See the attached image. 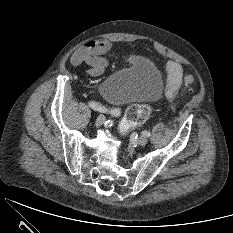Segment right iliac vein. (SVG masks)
Segmentation results:
<instances>
[{
    "instance_id": "obj_1",
    "label": "right iliac vein",
    "mask_w": 233,
    "mask_h": 233,
    "mask_svg": "<svg viewBox=\"0 0 233 233\" xmlns=\"http://www.w3.org/2000/svg\"><path fill=\"white\" fill-rule=\"evenodd\" d=\"M105 121V117L103 115H99L97 118H96V121H95V125L96 126H101Z\"/></svg>"
}]
</instances>
